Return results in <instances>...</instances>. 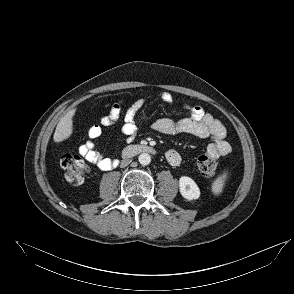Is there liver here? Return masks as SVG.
<instances>
[{"label": "liver", "instance_id": "1", "mask_svg": "<svg viewBox=\"0 0 294 294\" xmlns=\"http://www.w3.org/2000/svg\"><path fill=\"white\" fill-rule=\"evenodd\" d=\"M76 109L70 110L64 117H62L57 124L53 135L54 142L59 143L68 139L73 133V116Z\"/></svg>", "mask_w": 294, "mask_h": 294}]
</instances>
